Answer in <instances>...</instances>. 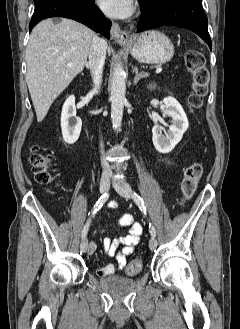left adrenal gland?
Wrapping results in <instances>:
<instances>
[{"instance_id": "a2214340", "label": "left adrenal gland", "mask_w": 240, "mask_h": 329, "mask_svg": "<svg viewBox=\"0 0 240 329\" xmlns=\"http://www.w3.org/2000/svg\"><path fill=\"white\" fill-rule=\"evenodd\" d=\"M133 72L135 73V77H134V80H133L134 85H136L140 79L148 76V73H145V72H140L139 73L138 67H135L133 69Z\"/></svg>"}]
</instances>
